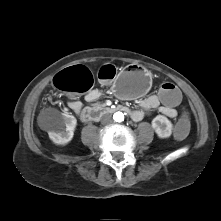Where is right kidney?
<instances>
[{"label":"right kidney","instance_id":"ca27d5eb","mask_svg":"<svg viewBox=\"0 0 221 221\" xmlns=\"http://www.w3.org/2000/svg\"><path fill=\"white\" fill-rule=\"evenodd\" d=\"M77 120L73 115L61 113L48 132L49 138L56 145H66L73 138Z\"/></svg>","mask_w":221,"mask_h":221}]
</instances>
